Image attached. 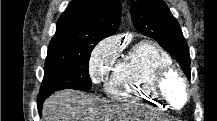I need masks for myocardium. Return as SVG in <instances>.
Wrapping results in <instances>:
<instances>
[{
  "mask_svg": "<svg viewBox=\"0 0 217 121\" xmlns=\"http://www.w3.org/2000/svg\"><path fill=\"white\" fill-rule=\"evenodd\" d=\"M173 79L178 80L183 89V99L179 104L174 101L166 90L168 83ZM153 88L156 97L161 102L175 110L182 109L190 99V88L186 77L179 69L172 65L164 67L156 73L153 80Z\"/></svg>",
  "mask_w": 217,
  "mask_h": 121,
  "instance_id": "obj_1",
  "label": "myocardium"
}]
</instances>
